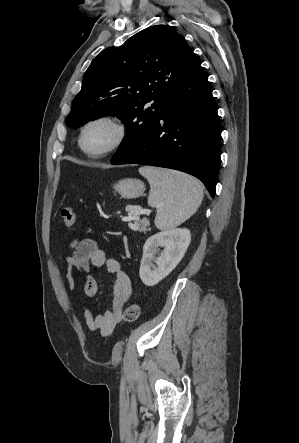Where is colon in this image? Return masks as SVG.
<instances>
[{"instance_id": "colon-1", "label": "colon", "mask_w": 299, "mask_h": 443, "mask_svg": "<svg viewBox=\"0 0 299 443\" xmlns=\"http://www.w3.org/2000/svg\"><path fill=\"white\" fill-rule=\"evenodd\" d=\"M60 215L63 221V224L66 227H73L76 222V214L74 209L66 204H60L59 206ZM140 316V306L138 303H132L130 304L125 312H124V319L127 322H135Z\"/></svg>"}]
</instances>
